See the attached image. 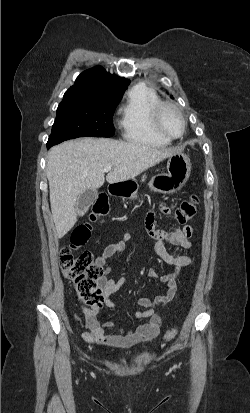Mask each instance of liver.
<instances>
[{
	"mask_svg": "<svg viewBox=\"0 0 250 413\" xmlns=\"http://www.w3.org/2000/svg\"><path fill=\"white\" fill-rule=\"evenodd\" d=\"M175 153L174 148L157 149L137 142L92 137L66 141L51 148L46 174L57 237H64L76 224L80 195L104 184L106 166L113 168L106 180L114 184L136 177Z\"/></svg>",
	"mask_w": 250,
	"mask_h": 413,
	"instance_id": "liver-1",
	"label": "liver"
}]
</instances>
